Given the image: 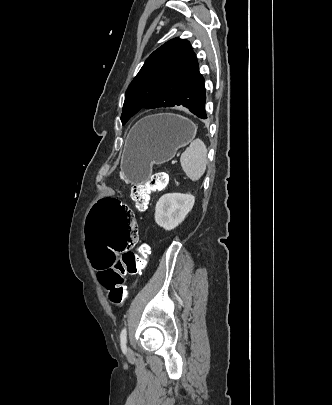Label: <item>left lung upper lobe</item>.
<instances>
[{
    "label": "left lung upper lobe",
    "instance_id": "1",
    "mask_svg": "<svg viewBox=\"0 0 332 405\" xmlns=\"http://www.w3.org/2000/svg\"><path fill=\"white\" fill-rule=\"evenodd\" d=\"M204 78L189 41L174 38L145 61L130 83L121 121L125 124L141 108L183 106L192 109Z\"/></svg>",
    "mask_w": 332,
    "mask_h": 405
}]
</instances>
